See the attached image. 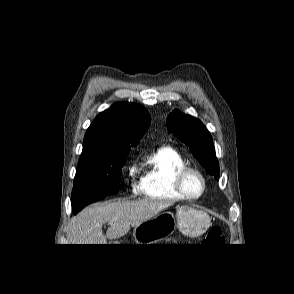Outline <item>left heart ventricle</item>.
Listing matches in <instances>:
<instances>
[{"label": "left heart ventricle", "instance_id": "1", "mask_svg": "<svg viewBox=\"0 0 294 294\" xmlns=\"http://www.w3.org/2000/svg\"><path fill=\"white\" fill-rule=\"evenodd\" d=\"M202 183L200 178L193 173H190L185 179V188L191 195H197L201 191Z\"/></svg>", "mask_w": 294, "mask_h": 294}]
</instances>
